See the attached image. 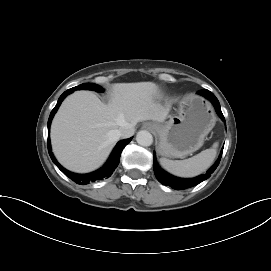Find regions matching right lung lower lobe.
I'll return each instance as SVG.
<instances>
[{
	"label": "right lung lower lobe",
	"instance_id": "1",
	"mask_svg": "<svg viewBox=\"0 0 271 271\" xmlns=\"http://www.w3.org/2000/svg\"><path fill=\"white\" fill-rule=\"evenodd\" d=\"M74 90L71 88L67 91H65L60 98L58 99V102L56 104V106L54 107V109L52 110L49 119H48V152L49 155L52 159V161L57 165V167L66 175L68 176L70 179H72L73 181H75L77 184H88L91 181H95L98 179H102V178H108L110 177V175L112 174V172L114 171V169L117 167L119 160H120V156H121V152L124 149V147L131 141L132 138L129 139H125V140H121L117 143V145L115 146L113 152L110 155V158L108 159L107 163L99 170L90 173V174H75L72 173L68 170H66L65 168H63L55 159V157L53 156L52 152H51V145H50V138H49V129H50V124L52 121V118L54 116V114L56 113L57 109L59 108L61 102L63 101V99L70 93H72Z\"/></svg>",
	"mask_w": 271,
	"mask_h": 271
}]
</instances>
